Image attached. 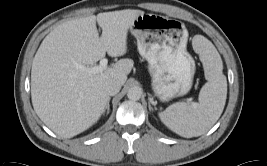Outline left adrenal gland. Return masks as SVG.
Listing matches in <instances>:
<instances>
[{
  "label": "left adrenal gland",
  "instance_id": "1",
  "mask_svg": "<svg viewBox=\"0 0 267 166\" xmlns=\"http://www.w3.org/2000/svg\"><path fill=\"white\" fill-rule=\"evenodd\" d=\"M150 103H153L152 98H149V110H152Z\"/></svg>",
  "mask_w": 267,
  "mask_h": 166
}]
</instances>
